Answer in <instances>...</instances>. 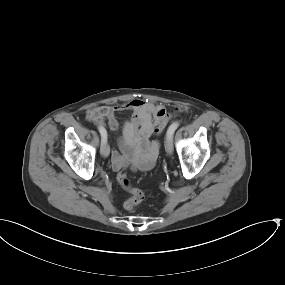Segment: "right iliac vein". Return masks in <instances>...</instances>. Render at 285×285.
I'll use <instances>...</instances> for the list:
<instances>
[{
    "label": "right iliac vein",
    "instance_id": "right-iliac-vein-1",
    "mask_svg": "<svg viewBox=\"0 0 285 285\" xmlns=\"http://www.w3.org/2000/svg\"><path fill=\"white\" fill-rule=\"evenodd\" d=\"M109 153H110L109 144H108V141L105 140V141L101 142V154L104 157H108Z\"/></svg>",
    "mask_w": 285,
    "mask_h": 285
}]
</instances>
